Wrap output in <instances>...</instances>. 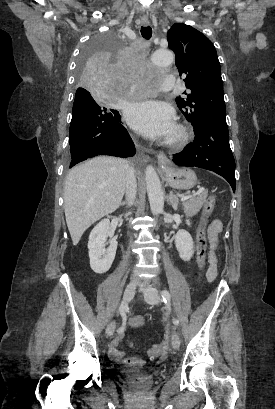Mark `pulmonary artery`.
<instances>
[{
	"label": "pulmonary artery",
	"instance_id": "1",
	"mask_svg": "<svg viewBox=\"0 0 275 409\" xmlns=\"http://www.w3.org/2000/svg\"><path fill=\"white\" fill-rule=\"evenodd\" d=\"M176 86H177V81H176L175 77L173 75H171V74L168 75L166 77V79L162 80V87L163 88H176ZM136 90H137V87L131 86L130 90H128V93L135 94Z\"/></svg>",
	"mask_w": 275,
	"mask_h": 409
}]
</instances>
